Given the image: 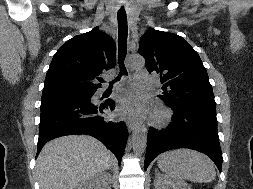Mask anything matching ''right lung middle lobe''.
<instances>
[{
    "label": "right lung middle lobe",
    "mask_w": 253,
    "mask_h": 189,
    "mask_svg": "<svg viewBox=\"0 0 253 189\" xmlns=\"http://www.w3.org/2000/svg\"><path fill=\"white\" fill-rule=\"evenodd\" d=\"M95 91L92 90H76V89H59L43 91L42 100L47 98H77V99H90Z\"/></svg>",
    "instance_id": "1"
}]
</instances>
